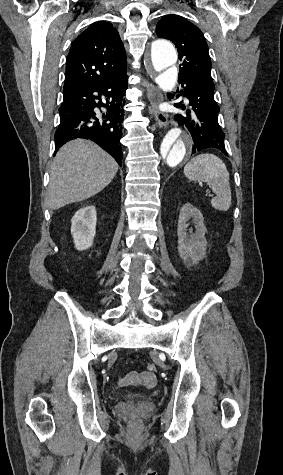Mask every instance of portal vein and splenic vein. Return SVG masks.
<instances>
[{
    "label": "portal vein and splenic vein",
    "mask_w": 283,
    "mask_h": 475,
    "mask_svg": "<svg viewBox=\"0 0 283 475\" xmlns=\"http://www.w3.org/2000/svg\"><path fill=\"white\" fill-rule=\"evenodd\" d=\"M204 194H205V197L208 198V199L211 198V196L212 197L214 196L213 194L211 195V191L209 189H206L204 191Z\"/></svg>",
    "instance_id": "18ae733b"
}]
</instances>
